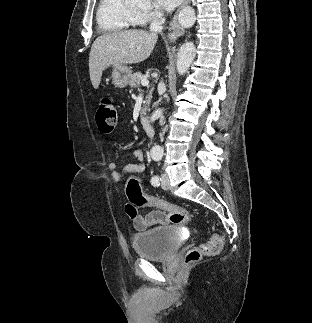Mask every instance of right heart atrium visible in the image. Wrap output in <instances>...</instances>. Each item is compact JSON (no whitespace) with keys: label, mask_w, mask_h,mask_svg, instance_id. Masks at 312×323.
Listing matches in <instances>:
<instances>
[{"label":"right heart atrium","mask_w":312,"mask_h":323,"mask_svg":"<svg viewBox=\"0 0 312 323\" xmlns=\"http://www.w3.org/2000/svg\"><path fill=\"white\" fill-rule=\"evenodd\" d=\"M150 17H165V10H150Z\"/></svg>","instance_id":"right-heart-atrium-1"}]
</instances>
